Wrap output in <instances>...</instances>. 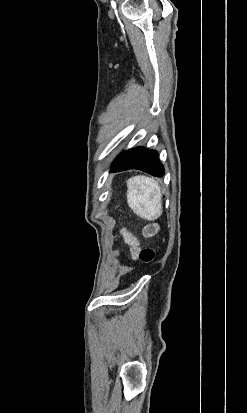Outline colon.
Listing matches in <instances>:
<instances>
[{
    "label": "colon",
    "instance_id": "obj_1",
    "mask_svg": "<svg viewBox=\"0 0 247 413\" xmlns=\"http://www.w3.org/2000/svg\"><path fill=\"white\" fill-rule=\"evenodd\" d=\"M158 250L154 248H145L141 250L140 257H137L139 261L144 263L146 266H152V262L154 261ZM147 264V265H146Z\"/></svg>",
    "mask_w": 247,
    "mask_h": 413
}]
</instances>
